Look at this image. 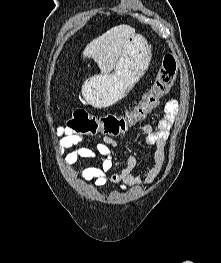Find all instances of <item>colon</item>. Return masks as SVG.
I'll use <instances>...</instances> for the list:
<instances>
[{"mask_svg":"<svg viewBox=\"0 0 221 263\" xmlns=\"http://www.w3.org/2000/svg\"><path fill=\"white\" fill-rule=\"evenodd\" d=\"M176 74V59L172 54H167L152 86L136 106L121 115L109 113L102 116L90 114L84 109H76L67 119L66 126L72 133L83 136H118L125 133L158 107L173 86Z\"/></svg>","mask_w":221,"mask_h":263,"instance_id":"1","label":"colon"}]
</instances>
